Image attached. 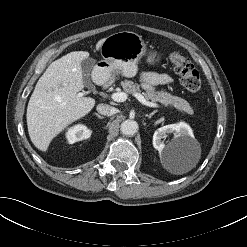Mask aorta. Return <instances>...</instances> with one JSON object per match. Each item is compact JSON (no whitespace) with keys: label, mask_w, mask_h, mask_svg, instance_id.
<instances>
[{"label":"aorta","mask_w":247,"mask_h":247,"mask_svg":"<svg viewBox=\"0 0 247 247\" xmlns=\"http://www.w3.org/2000/svg\"><path fill=\"white\" fill-rule=\"evenodd\" d=\"M120 130L124 135H134L138 130V123L134 120L127 119L121 123Z\"/></svg>","instance_id":"aorta-1"}]
</instances>
